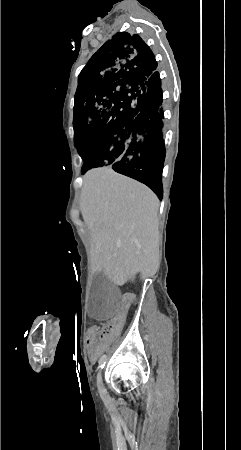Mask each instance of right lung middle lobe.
Listing matches in <instances>:
<instances>
[{
  "instance_id": "1",
  "label": "right lung middle lobe",
  "mask_w": 241,
  "mask_h": 450,
  "mask_svg": "<svg viewBox=\"0 0 241 450\" xmlns=\"http://www.w3.org/2000/svg\"><path fill=\"white\" fill-rule=\"evenodd\" d=\"M145 107L144 98L125 96L113 85L78 82L73 126L75 140L81 139L82 174L91 168L113 165L143 141L142 135L130 133L109 140L100 148V156H91L104 137L141 115Z\"/></svg>"
}]
</instances>
